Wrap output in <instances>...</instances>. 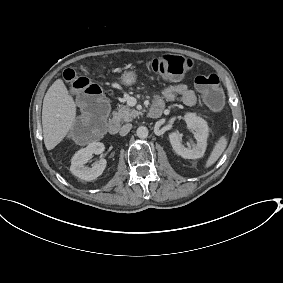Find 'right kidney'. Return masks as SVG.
Returning a JSON list of instances; mask_svg holds the SVG:
<instances>
[{
  "mask_svg": "<svg viewBox=\"0 0 283 283\" xmlns=\"http://www.w3.org/2000/svg\"><path fill=\"white\" fill-rule=\"evenodd\" d=\"M103 150L104 145L100 142H92L87 147L78 150L71 159V173L74 176L85 181H92L97 177L101 176L106 166L105 160H100L96 162L91 168L84 166V164L94 154H101Z\"/></svg>",
  "mask_w": 283,
  "mask_h": 283,
  "instance_id": "ca27d5eb",
  "label": "right kidney"
}]
</instances>
